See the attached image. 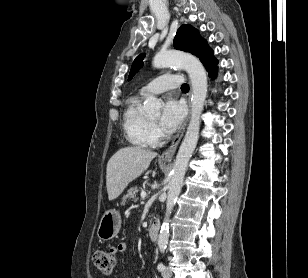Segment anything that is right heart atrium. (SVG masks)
Masks as SVG:
<instances>
[{"label": "right heart atrium", "mask_w": 308, "mask_h": 278, "mask_svg": "<svg viewBox=\"0 0 308 278\" xmlns=\"http://www.w3.org/2000/svg\"><path fill=\"white\" fill-rule=\"evenodd\" d=\"M150 139L152 144H158L162 139V131L160 128L152 123L150 128Z\"/></svg>", "instance_id": "1"}]
</instances>
